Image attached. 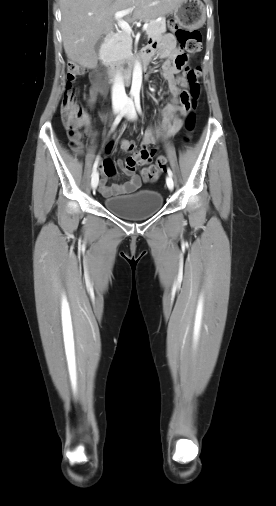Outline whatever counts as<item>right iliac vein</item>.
Masks as SVG:
<instances>
[{
    "mask_svg": "<svg viewBox=\"0 0 276 506\" xmlns=\"http://www.w3.org/2000/svg\"><path fill=\"white\" fill-rule=\"evenodd\" d=\"M122 104H118L114 107V112L117 113L121 110L122 108ZM98 185V173L96 172V175L95 176H92V180H91V186L92 188L95 190L96 187Z\"/></svg>",
    "mask_w": 276,
    "mask_h": 506,
    "instance_id": "1",
    "label": "right iliac vein"
}]
</instances>
